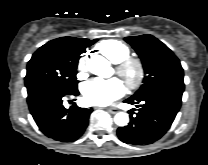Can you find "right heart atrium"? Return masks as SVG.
<instances>
[{"instance_id": "right-heart-atrium-1", "label": "right heart atrium", "mask_w": 208, "mask_h": 165, "mask_svg": "<svg viewBox=\"0 0 208 165\" xmlns=\"http://www.w3.org/2000/svg\"><path fill=\"white\" fill-rule=\"evenodd\" d=\"M86 60L87 56L83 55L77 63L78 78L82 79L86 75Z\"/></svg>"}]
</instances>
